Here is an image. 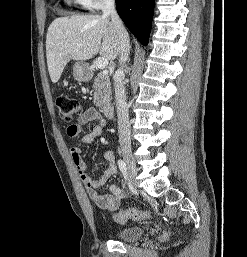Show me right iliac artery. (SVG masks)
<instances>
[{
	"mask_svg": "<svg viewBox=\"0 0 247 257\" xmlns=\"http://www.w3.org/2000/svg\"><path fill=\"white\" fill-rule=\"evenodd\" d=\"M118 166H119L120 171H121L122 174H123V177H124L125 183H126V180H127V168H126V164H125V162H124L123 160L120 159V160H118ZM123 187H125V184H124Z\"/></svg>",
	"mask_w": 247,
	"mask_h": 257,
	"instance_id": "obj_1",
	"label": "right iliac artery"
}]
</instances>
